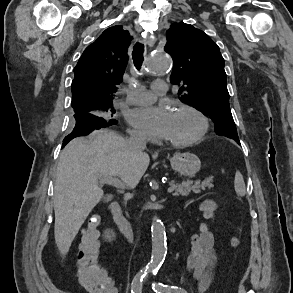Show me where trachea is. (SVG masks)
Listing matches in <instances>:
<instances>
[{"label": "trachea", "instance_id": "trachea-1", "mask_svg": "<svg viewBox=\"0 0 293 293\" xmlns=\"http://www.w3.org/2000/svg\"><path fill=\"white\" fill-rule=\"evenodd\" d=\"M143 53H144V45L141 43H136L133 48L132 58L135 67L140 70L142 62H143Z\"/></svg>", "mask_w": 293, "mask_h": 293}]
</instances>
